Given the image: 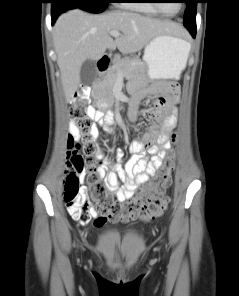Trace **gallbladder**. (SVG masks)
<instances>
[{
	"mask_svg": "<svg viewBox=\"0 0 239 296\" xmlns=\"http://www.w3.org/2000/svg\"><path fill=\"white\" fill-rule=\"evenodd\" d=\"M96 76V67L93 60L87 59L83 62L80 70L81 82L91 84Z\"/></svg>",
	"mask_w": 239,
	"mask_h": 296,
	"instance_id": "bac80fb5",
	"label": "gallbladder"
}]
</instances>
